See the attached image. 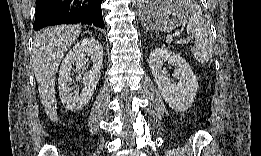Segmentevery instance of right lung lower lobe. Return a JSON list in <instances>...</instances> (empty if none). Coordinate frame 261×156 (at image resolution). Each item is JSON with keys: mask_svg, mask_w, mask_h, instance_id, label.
<instances>
[{"mask_svg": "<svg viewBox=\"0 0 261 156\" xmlns=\"http://www.w3.org/2000/svg\"><path fill=\"white\" fill-rule=\"evenodd\" d=\"M101 3L102 0H36L34 30L66 23L104 28Z\"/></svg>", "mask_w": 261, "mask_h": 156, "instance_id": "obj_1", "label": "right lung lower lobe"}]
</instances>
